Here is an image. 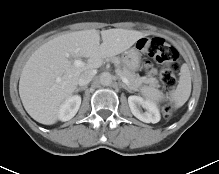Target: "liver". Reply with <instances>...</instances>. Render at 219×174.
Instances as JSON below:
<instances>
[{"label": "liver", "mask_w": 219, "mask_h": 174, "mask_svg": "<svg viewBox=\"0 0 219 174\" xmlns=\"http://www.w3.org/2000/svg\"><path fill=\"white\" fill-rule=\"evenodd\" d=\"M143 36L135 30L90 29L44 43L30 56L20 76L19 94L25 110L39 123H56L59 108L76 91L80 75L101 67L105 58L124 52ZM81 57L88 58L87 62L75 66L72 59Z\"/></svg>", "instance_id": "obj_1"}]
</instances>
